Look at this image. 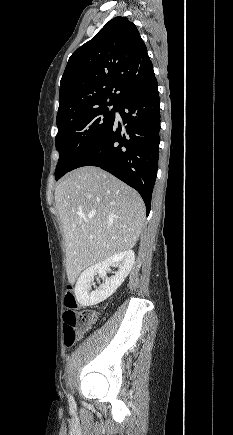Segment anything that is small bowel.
Returning a JSON list of instances; mask_svg holds the SVG:
<instances>
[{
    "label": "small bowel",
    "mask_w": 233,
    "mask_h": 435,
    "mask_svg": "<svg viewBox=\"0 0 233 435\" xmlns=\"http://www.w3.org/2000/svg\"><path fill=\"white\" fill-rule=\"evenodd\" d=\"M76 305H79V302H76Z\"/></svg>",
    "instance_id": "1"
}]
</instances>
